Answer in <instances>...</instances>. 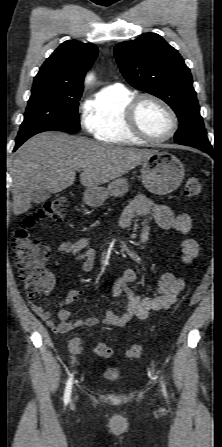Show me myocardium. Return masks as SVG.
I'll return each instance as SVG.
<instances>
[{"label": "myocardium", "instance_id": "f54148a6", "mask_svg": "<svg viewBox=\"0 0 222 447\" xmlns=\"http://www.w3.org/2000/svg\"><path fill=\"white\" fill-rule=\"evenodd\" d=\"M149 100L160 105L169 115L171 119L170 131L161 138H154L148 135L138 122V110L142 102ZM125 121L128 128L139 138L150 143H163L171 139L178 130V117L173 108L161 97L151 93H142L134 96L128 103L125 110Z\"/></svg>", "mask_w": 222, "mask_h": 447}]
</instances>
